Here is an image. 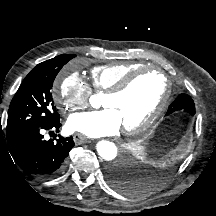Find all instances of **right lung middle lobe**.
<instances>
[{
	"label": "right lung middle lobe",
	"mask_w": 216,
	"mask_h": 216,
	"mask_svg": "<svg viewBox=\"0 0 216 216\" xmlns=\"http://www.w3.org/2000/svg\"><path fill=\"white\" fill-rule=\"evenodd\" d=\"M74 57L73 54L59 55L26 76L10 104L7 132L50 125L59 120L51 89L58 72Z\"/></svg>",
	"instance_id": "1"
}]
</instances>
